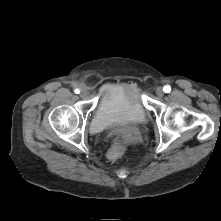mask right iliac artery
<instances>
[{
  "mask_svg": "<svg viewBox=\"0 0 221 221\" xmlns=\"http://www.w3.org/2000/svg\"><path fill=\"white\" fill-rule=\"evenodd\" d=\"M79 92H80L79 89H75L76 94H79Z\"/></svg>",
  "mask_w": 221,
  "mask_h": 221,
  "instance_id": "82829eb1",
  "label": "right iliac artery"
}]
</instances>
